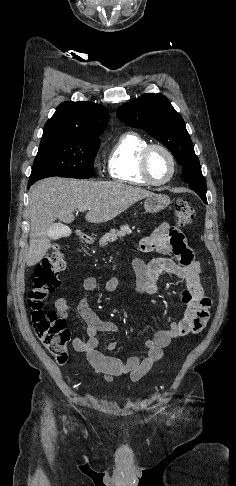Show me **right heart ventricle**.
Wrapping results in <instances>:
<instances>
[{
  "label": "right heart ventricle",
  "mask_w": 236,
  "mask_h": 486,
  "mask_svg": "<svg viewBox=\"0 0 236 486\" xmlns=\"http://www.w3.org/2000/svg\"><path fill=\"white\" fill-rule=\"evenodd\" d=\"M148 141L136 132L122 134L108 156L110 176L123 183L145 186L148 183L143 179L139 170V159L142 150Z\"/></svg>",
  "instance_id": "1"
}]
</instances>
